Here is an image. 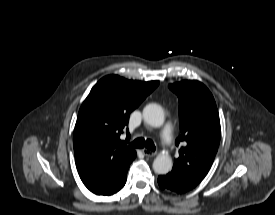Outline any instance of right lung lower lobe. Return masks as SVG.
<instances>
[{
	"label": "right lung lower lobe",
	"mask_w": 275,
	"mask_h": 215,
	"mask_svg": "<svg viewBox=\"0 0 275 215\" xmlns=\"http://www.w3.org/2000/svg\"><path fill=\"white\" fill-rule=\"evenodd\" d=\"M134 158L121 166L110 169H102L82 181L84 185L94 194L112 195L118 192L125 185L127 171Z\"/></svg>",
	"instance_id": "right-lung-lower-lobe-1"
}]
</instances>
